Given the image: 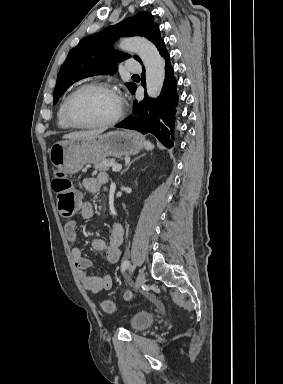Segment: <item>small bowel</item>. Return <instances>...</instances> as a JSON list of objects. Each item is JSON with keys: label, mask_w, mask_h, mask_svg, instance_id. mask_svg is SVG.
<instances>
[{"label": "small bowel", "mask_w": 283, "mask_h": 384, "mask_svg": "<svg viewBox=\"0 0 283 384\" xmlns=\"http://www.w3.org/2000/svg\"><path fill=\"white\" fill-rule=\"evenodd\" d=\"M108 182V175L100 173L95 176L85 178L83 180V187L89 193L95 194L100 192ZM81 216L85 220H89L93 217L94 207L90 202H84L80 208ZM64 233L67 240L75 245L78 242L79 236L77 232L76 222L71 220L65 223ZM124 229L121 224L113 223L110 239L108 242L102 238L95 237L91 240V246L95 251L104 252L106 260L110 264L118 262L121 256L120 246L123 242ZM71 256L74 265L78 271L79 279L83 287L92 292L98 293L102 290H109L112 287L113 280L110 275H104L102 277L90 275L88 270L93 266L92 261L85 257L81 250L74 246L71 251Z\"/></svg>", "instance_id": "obj_1"}]
</instances>
